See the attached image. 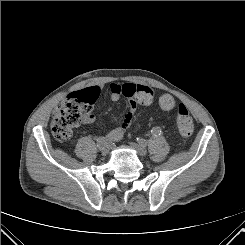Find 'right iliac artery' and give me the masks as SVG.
Listing matches in <instances>:
<instances>
[{
	"instance_id": "82829eb1",
	"label": "right iliac artery",
	"mask_w": 245,
	"mask_h": 245,
	"mask_svg": "<svg viewBox=\"0 0 245 245\" xmlns=\"http://www.w3.org/2000/svg\"><path fill=\"white\" fill-rule=\"evenodd\" d=\"M97 147L103 148V151H108L110 143H107L104 137H100L97 139Z\"/></svg>"
}]
</instances>
